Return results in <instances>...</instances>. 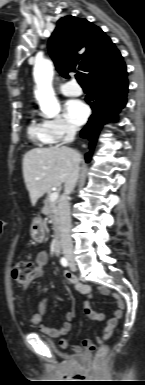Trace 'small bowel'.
<instances>
[{"mask_svg": "<svg viewBox=\"0 0 145 385\" xmlns=\"http://www.w3.org/2000/svg\"><path fill=\"white\" fill-rule=\"evenodd\" d=\"M47 262H48V253L46 251H40L36 256V267L34 270L32 280L40 278L43 275V267L47 264ZM64 277H65V280L69 284H71L79 294L86 296L88 299L92 297L93 293H92L91 287L87 284H83L79 282L75 274L69 271H65ZM28 287H29V284L22 285L21 289L25 291L27 290ZM99 291L102 295L110 296L111 298H113L117 307L112 317L108 319L107 325L103 329L102 335L98 339L100 343H103L110 338L113 330L116 328L120 319L122 318V311L125 307V303L118 293L113 292L108 287L103 286L99 289ZM47 305H48V299L46 297H43L39 302L38 312L33 315H30L28 317V321L32 324L39 325V330L42 334L48 335L52 338L59 339L60 346L62 348H67L69 346V343L63 337L71 331L73 327L75 314L74 312H68L66 315V320L63 324V327L60 329L52 328L41 323L42 318L47 311ZM85 314L87 315V317H89L92 320L103 321L106 319V315L104 313L97 312L91 308L89 301H86L85 303ZM90 345L94 346V344L90 340L84 341V346L86 348ZM72 349L76 353H80L82 351L81 347L78 345L72 346Z\"/></svg>", "mask_w": 145, "mask_h": 385, "instance_id": "small-bowel-1", "label": "small bowel"}]
</instances>
